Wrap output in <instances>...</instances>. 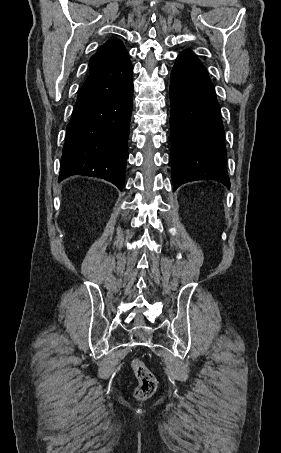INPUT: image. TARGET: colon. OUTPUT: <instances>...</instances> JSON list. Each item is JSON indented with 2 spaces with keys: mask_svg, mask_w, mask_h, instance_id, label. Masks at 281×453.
<instances>
[{
  "mask_svg": "<svg viewBox=\"0 0 281 453\" xmlns=\"http://www.w3.org/2000/svg\"><path fill=\"white\" fill-rule=\"evenodd\" d=\"M130 369L132 374L142 382L141 388L138 390L136 397L139 400H143L147 398L153 390L155 381L153 372L144 362L140 360H133L130 365Z\"/></svg>",
  "mask_w": 281,
  "mask_h": 453,
  "instance_id": "1",
  "label": "colon"
}]
</instances>
